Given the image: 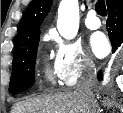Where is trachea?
I'll return each instance as SVG.
<instances>
[{
    "label": "trachea",
    "instance_id": "3493384b",
    "mask_svg": "<svg viewBox=\"0 0 123 113\" xmlns=\"http://www.w3.org/2000/svg\"><path fill=\"white\" fill-rule=\"evenodd\" d=\"M95 10L98 15L100 16H106L107 15V10L105 6V1L104 0H98L95 5Z\"/></svg>",
    "mask_w": 123,
    "mask_h": 113
}]
</instances>
